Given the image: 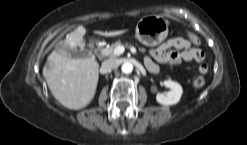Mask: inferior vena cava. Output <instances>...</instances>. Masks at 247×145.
<instances>
[{"label": "inferior vena cava", "instance_id": "1", "mask_svg": "<svg viewBox=\"0 0 247 145\" xmlns=\"http://www.w3.org/2000/svg\"><path fill=\"white\" fill-rule=\"evenodd\" d=\"M119 66L117 59H107L102 62L101 69L104 73H107L113 69H116Z\"/></svg>", "mask_w": 247, "mask_h": 145}]
</instances>
